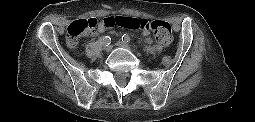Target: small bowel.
I'll use <instances>...</instances> for the list:
<instances>
[{
    "mask_svg": "<svg viewBox=\"0 0 255 122\" xmlns=\"http://www.w3.org/2000/svg\"><path fill=\"white\" fill-rule=\"evenodd\" d=\"M108 28L110 27L106 24V18H105L98 24L96 34H101L105 32ZM143 34L147 36L149 34V31H143ZM146 41L147 43H151V38H147Z\"/></svg>",
    "mask_w": 255,
    "mask_h": 122,
    "instance_id": "small-bowel-1",
    "label": "small bowel"
}]
</instances>
